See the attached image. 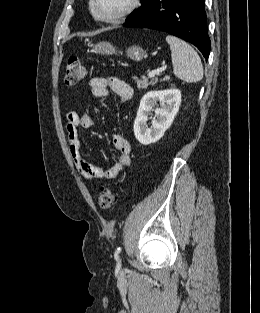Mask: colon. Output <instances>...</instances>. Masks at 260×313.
<instances>
[{"label":"colon","instance_id":"colon-1","mask_svg":"<svg viewBox=\"0 0 260 313\" xmlns=\"http://www.w3.org/2000/svg\"><path fill=\"white\" fill-rule=\"evenodd\" d=\"M86 73L87 70L82 60L77 56H71L68 58L65 66L64 84L68 87L75 86L85 79ZM113 201L114 196L109 189H104L98 195V204L103 210L110 209Z\"/></svg>","mask_w":260,"mask_h":313}]
</instances>
